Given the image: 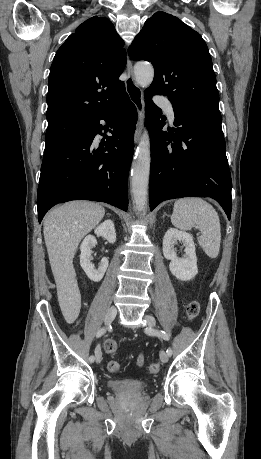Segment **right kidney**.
I'll use <instances>...</instances> for the list:
<instances>
[{
	"label": "right kidney",
	"mask_w": 261,
	"mask_h": 459,
	"mask_svg": "<svg viewBox=\"0 0 261 459\" xmlns=\"http://www.w3.org/2000/svg\"><path fill=\"white\" fill-rule=\"evenodd\" d=\"M94 233L97 236H102L111 244L116 241V232L112 220H106L97 226ZM96 244L97 240L94 236L88 235L84 238L80 246V265L91 281L99 282L108 268L109 261L107 258H102L99 267L97 269L94 268V265L91 262V255L92 248L95 247Z\"/></svg>",
	"instance_id": "obj_1"
}]
</instances>
